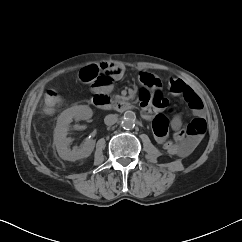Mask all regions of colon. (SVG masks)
<instances>
[{
  "mask_svg": "<svg viewBox=\"0 0 242 242\" xmlns=\"http://www.w3.org/2000/svg\"><path fill=\"white\" fill-rule=\"evenodd\" d=\"M79 79L84 83H92L93 86H104L112 82L113 76L109 71L103 68H99L96 65H89L80 71ZM141 83V94L143 99L149 101L152 98L155 105L158 106V102L163 100L158 79L152 74H145L141 77ZM171 89L174 93H180L190 107H195L200 103L199 97L190 88L182 89V86L178 82L175 83ZM62 100V96L57 91L48 90L43 100L45 110L48 112L54 111L61 105ZM194 126V128H188L189 134L203 135L205 133L206 128L200 121H196ZM153 130L157 135H162L166 132L167 123L164 117H158L153 123Z\"/></svg>",
  "mask_w": 242,
  "mask_h": 242,
  "instance_id": "5ec220e1",
  "label": "colon"
}]
</instances>
